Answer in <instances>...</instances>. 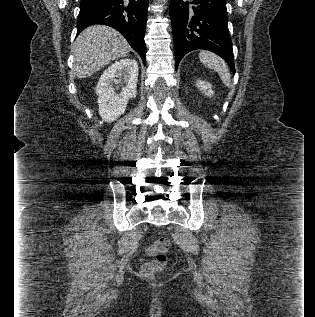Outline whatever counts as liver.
<instances>
[{
	"label": "liver",
	"instance_id": "1",
	"mask_svg": "<svg viewBox=\"0 0 315 317\" xmlns=\"http://www.w3.org/2000/svg\"><path fill=\"white\" fill-rule=\"evenodd\" d=\"M131 47L111 27L94 25L85 29L72 46L74 73L78 78L90 77L112 60L124 57Z\"/></svg>",
	"mask_w": 315,
	"mask_h": 317
}]
</instances>
